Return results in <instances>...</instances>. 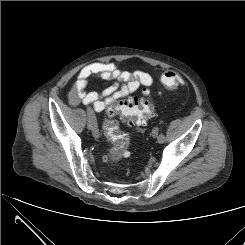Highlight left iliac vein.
<instances>
[{"label":"left iliac vein","mask_w":245,"mask_h":245,"mask_svg":"<svg viewBox=\"0 0 245 245\" xmlns=\"http://www.w3.org/2000/svg\"><path fill=\"white\" fill-rule=\"evenodd\" d=\"M158 131H159V129L157 128V127H155L154 129H153V131H152V136L154 137V138H156L157 137V140H158ZM159 142V141H158Z\"/></svg>","instance_id":"1"}]
</instances>
